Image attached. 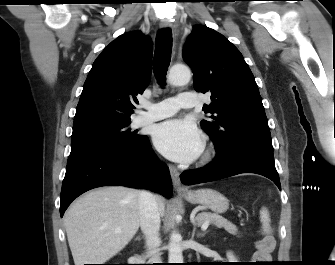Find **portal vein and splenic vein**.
Wrapping results in <instances>:
<instances>
[{"label":"portal vein and splenic vein","instance_id":"18ae733b","mask_svg":"<svg viewBox=\"0 0 335 265\" xmlns=\"http://www.w3.org/2000/svg\"><path fill=\"white\" fill-rule=\"evenodd\" d=\"M209 223H210V221H205L203 224H202V226H201V229L202 230H206L207 228H208V226H209Z\"/></svg>","mask_w":335,"mask_h":265}]
</instances>
